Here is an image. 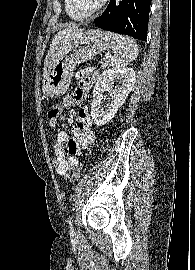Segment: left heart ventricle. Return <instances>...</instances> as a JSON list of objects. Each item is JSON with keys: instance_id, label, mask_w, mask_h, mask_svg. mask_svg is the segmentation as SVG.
I'll return each instance as SVG.
<instances>
[{"instance_id": "b2bd125f", "label": "left heart ventricle", "mask_w": 195, "mask_h": 270, "mask_svg": "<svg viewBox=\"0 0 195 270\" xmlns=\"http://www.w3.org/2000/svg\"><path fill=\"white\" fill-rule=\"evenodd\" d=\"M100 1L101 0H74V3L79 11L86 13L96 8Z\"/></svg>"}]
</instances>
